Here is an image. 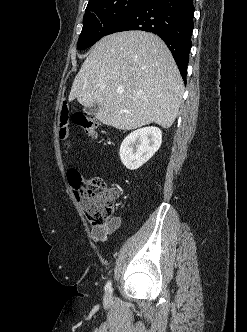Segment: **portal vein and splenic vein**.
I'll use <instances>...</instances> for the list:
<instances>
[{
    "mask_svg": "<svg viewBox=\"0 0 247 332\" xmlns=\"http://www.w3.org/2000/svg\"><path fill=\"white\" fill-rule=\"evenodd\" d=\"M117 93H120V94H121V93H123V90H122V89H118V90H117Z\"/></svg>",
    "mask_w": 247,
    "mask_h": 332,
    "instance_id": "18ae733b",
    "label": "portal vein and splenic vein"
}]
</instances>
